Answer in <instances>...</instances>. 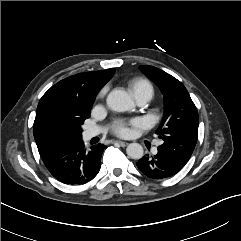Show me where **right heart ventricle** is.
Listing matches in <instances>:
<instances>
[{
  "label": "right heart ventricle",
  "instance_id": "1",
  "mask_svg": "<svg viewBox=\"0 0 241 241\" xmlns=\"http://www.w3.org/2000/svg\"><path fill=\"white\" fill-rule=\"evenodd\" d=\"M129 89L134 97H137L141 94H150L153 95V86L145 78H134L129 82Z\"/></svg>",
  "mask_w": 241,
  "mask_h": 241
}]
</instances>
